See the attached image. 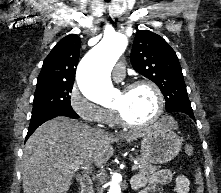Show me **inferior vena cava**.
Returning a JSON list of instances; mask_svg holds the SVG:
<instances>
[{"label": "inferior vena cava", "mask_w": 221, "mask_h": 193, "mask_svg": "<svg viewBox=\"0 0 221 193\" xmlns=\"http://www.w3.org/2000/svg\"><path fill=\"white\" fill-rule=\"evenodd\" d=\"M97 193H102L99 188H97Z\"/></svg>", "instance_id": "1"}]
</instances>
